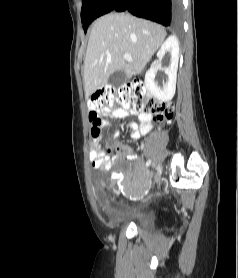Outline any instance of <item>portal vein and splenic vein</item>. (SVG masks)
Masks as SVG:
<instances>
[{"instance_id": "portal-vein-and-splenic-vein-1", "label": "portal vein and splenic vein", "mask_w": 238, "mask_h": 278, "mask_svg": "<svg viewBox=\"0 0 238 278\" xmlns=\"http://www.w3.org/2000/svg\"><path fill=\"white\" fill-rule=\"evenodd\" d=\"M123 57H124V59H125L126 61H128V62H131V61H132V57H131V55L128 54V53H125Z\"/></svg>"}]
</instances>
